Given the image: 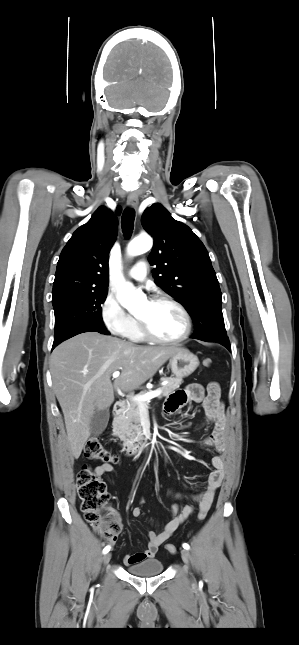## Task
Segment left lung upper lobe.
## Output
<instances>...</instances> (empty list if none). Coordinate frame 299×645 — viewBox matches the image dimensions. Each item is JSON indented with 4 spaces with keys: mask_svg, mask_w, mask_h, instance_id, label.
<instances>
[{
    "mask_svg": "<svg viewBox=\"0 0 299 645\" xmlns=\"http://www.w3.org/2000/svg\"><path fill=\"white\" fill-rule=\"evenodd\" d=\"M153 236L148 257L156 283L181 303L195 324L192 338L226 334L221 310L222 293L208 252L185 224L176 221L159 203L148 207L141 218Z\"/></svg>",
    "mask_w": 299,
    "mask_h": 645,
    "instance_id": "5c2ea615",
    "label": "left lung upper lobe"
}]
</instances>
